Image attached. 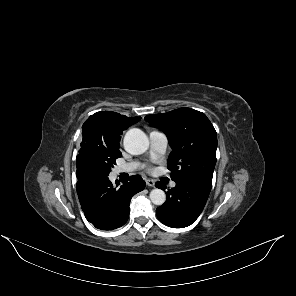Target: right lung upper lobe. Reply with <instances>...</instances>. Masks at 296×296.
<instances>
[{
    "label": "right lung upper lobe",
    "instance_id": "1",
    "mask_svg": "<svg viewBox=\"0 0 296 296\" xmlns=\"http://www.w3.org/2000/svg\"><path fill=\"white\" fill-rule=\"evenodd\" d=\"M140 119L141 117L128 118L112 111L97 112L83 124V139L103 143L120 141L123 131Z\"/></svg>",
    "mask_w": 296,
    "mask_h": 296
}]
</instances>
